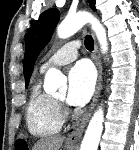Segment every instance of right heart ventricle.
<instances>
[{
    "label": "right heart ventricle",
    "instance_id": "e07e8e85",
    "mask_svg": "<svg viewBox=\"0 0 139 150\" xmlns=\"http://www.w3.org/2000/svg\"><path fill=\"white\" fill-rule=\"evenodd\" d=\"M25 117L29 132L35 136L57 133L63 125L58 105L52 96L42 91L39 81L31 89Z\"/></svg>",
    "mask_w": 139,
    "mask_h": 150
}]
</instances>
